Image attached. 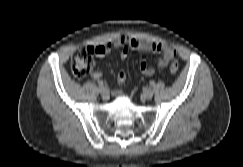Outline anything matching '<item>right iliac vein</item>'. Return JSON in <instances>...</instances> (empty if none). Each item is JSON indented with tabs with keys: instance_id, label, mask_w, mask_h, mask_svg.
Returning a JSON list of instances; mask_svg holds the SVG:
<instances>
[{
	"instance_id": "obj_1",
	"label": "right iliac vein",
	"mask_w": 243,
	"mask_h": 167,
	"mask_svg": "<svg viewBox=\"0 0 243 167\" xmlns=\"http://www.w3.org/2000/svg\"><path fill=\"white\" fill-rule=\"evenodd\" d=\"M99 92L105 98L109 96V90L106 87H100Z\"/></svg>"
}]
</instances>
